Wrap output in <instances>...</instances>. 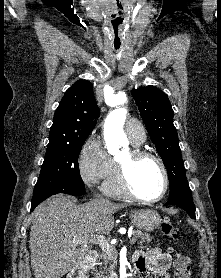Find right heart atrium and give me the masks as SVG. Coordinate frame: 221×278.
I'll use <instances>...</instances> for the list:
<instances>
[{"instance_id":"obj_1","label":"right heart atrium","mask_w":221,"mask_h":278,"mask_svg":"<svg viewBox=\"0 0 221 278\" xmlns=\"http://www.w3.org/2000/svg\"><path fill=\"white\" fill-rule=\"evenodd\" d=\"M77 164L81 179L88 185L106 180L115 169L113 159L104 150L95 133H91L84 141Z\"/></svg>"}]
</instances>
